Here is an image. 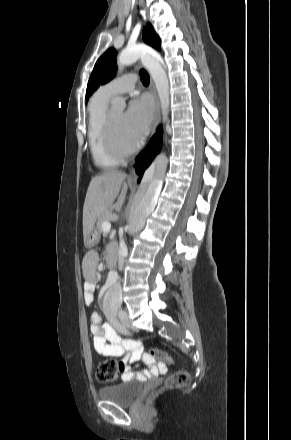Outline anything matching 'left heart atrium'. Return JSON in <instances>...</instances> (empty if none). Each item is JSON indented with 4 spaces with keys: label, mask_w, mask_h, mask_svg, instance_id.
<instances>
[{
    "label": "left heart atrium",
    "mask_w": 291,
    "mask_h": 440,
    "mask_svg": "<svg viewBox=\"0 0 291 440\" xmlns=\"http://www.w3.org/2000/svg\"><path fill=\"white\" fill-rule=\"evenodd\" d=\"M152 119V105L150 100L143 96L131 101L124 114V122L128 136L134 141H139L150 127Z\"/></svg>",
    "instance_id": "obj_1"
}]
</instances>
